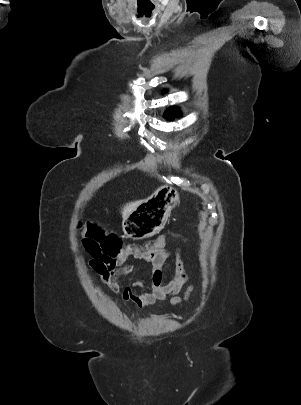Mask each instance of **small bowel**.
<instances>
[{
    "label": "small bowel",
    "mask_w": 301,
    "mask_h": 405,
    "mask_svg": "<svg viewBox=\"0 0 301 405\" xmlns=\"http://www.w3.org/2000/svg\"><path fill=\"white\" fill-rule=\"evenodd\" d=\"M159 248L155 252L142 249L138 253H132L129 247L125 248L112 266L103 264L98 258L91 257L89 264L98 272L103 284L113 293L121 292L119 278L123 274L131 273L132 265L127 264L130 257L144 261L148 264L151 273V285L145 287L138 283L133 287H126L121 292L123 301L134 302L139 308H145L163 302L171 297V303L175 306L186 302L194 289V283L184 265L180 251L176 254V268L174 277L168 283L163 282V266L170 255L166 247V236L157 238ZM186 285L183 295H178L181 288Z\"/></svg>",
    "instance_id": "1"
}]
</instances>
